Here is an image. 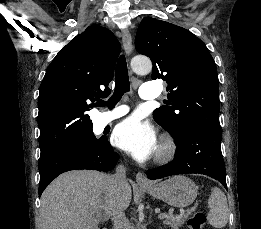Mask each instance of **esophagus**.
Returning <instances> with one entry per match:
<instances>
[{
    "label": "esophagus",
    "instance_id": "obj_1",
    "mask_svg": "<svg viewBox=\"0 0 261 229\" xmlns=\"http://www.w3.org/2000/svg\"><path fill=\"white\" fill-rule=\"evenodd\" d=\"M122 42L127 56H130L133 46H132V37L130 32L127 29H121ZM136 182L139 185L150 186L152 183L147 179L143 172L136 173Z\"/></svg>",
    "mask_w": 261,
    "mask_h": 229
}]
</instances>
